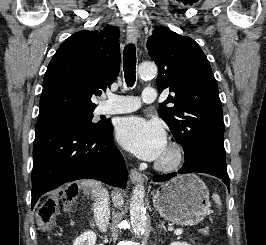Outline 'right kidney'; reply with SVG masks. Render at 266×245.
<instances>
[{"label": "right kidney", "mask_w": 266, "mask_h": 245, "mask_svg": "<svg viewBox=\"0 0 266 245\" xmlns=\"http://www.w3.org/2000/svg\"><path fill=\"white\" fill-rule=\"evenodd\" d=\"M73 245H96V235L94 231L82 233L80 237H77V239L73 241Z\"/></svg>", "instance_id": "obj_1"}]
</instances>
